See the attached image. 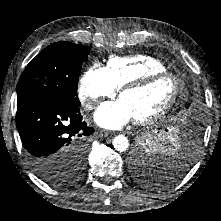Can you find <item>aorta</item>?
Returning a JSON list of instances; mask_svg holds the SVG:
<instances>
[{
	"label": "aorta",
	"mask_w": 221,
	"mask_h": 221,
	"mask_svg": "<svg viewBox=\"0 0 221 221\" xmlns=\"http://www.w3.org/2000/svg\"><path fill=\"white\" fill-rule=\"evenodd\" d=\"M113 147L118 152H124L129 147V141L128 139L123 135H117L113 138L112 141Z\"/></svg>",
	"instance_id": "1"
}]
</instances>
